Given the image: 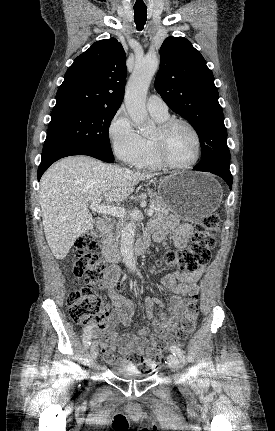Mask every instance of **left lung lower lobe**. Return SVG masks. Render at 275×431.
<instances>
[{
  "label": "left lung lower lobe",
  "instance_id": "0a47b994",
  "mask_svg": "<svg viewBox=\"0 0 275 431\" xmlns=\"http://www.w3.org/2000/svg\"><path fill=\"white\" fill-rule=\"evenodd\" d=\"M197 171H208L215 175L220 176L223 178V180L229 185V188H232V175L229 170H218V169H210V168H201V167H194Z\"/></svg>",
  "mask_w": 275,
  "mask_h": 431
}]
</instances>
